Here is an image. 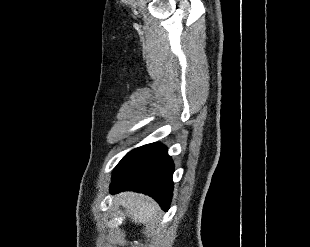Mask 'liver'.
<instances>
[{
    "instance_id": "obj_1",
    "label": "liver",
    "mask_w": 310,
    "mask_h": 247,
    "mask_svg": "<svg viewBox=\"0 0 310 247\" xmlns=\"http://www.w3.org/2000/svg\"><path fill=\"white\" fill-rule=\"evenodd\" d=\"M115 201L127 208L132 222L148 224L156 218L158 206L149 198L132 192L121 193Z\"/></svg>"
}]
</instances>
